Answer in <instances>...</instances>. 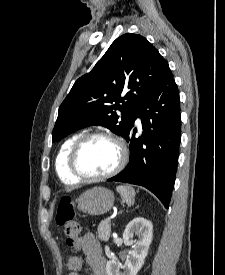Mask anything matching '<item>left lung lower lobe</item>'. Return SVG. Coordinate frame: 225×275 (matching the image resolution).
Returning <instances> with one entry per match:
<instances>
[{
    "label": "left lung lower lobe",
    "instance_id": "left-lung-lower-lobe-1",
    "mask_svg": "<svg viewBox=\"0 0 225 275\" xmlns=\"http://www.w3.org/2000/svg\"><path fill=\"white\" fill-rule=\"evenodd\" d=\"M138 117L143 128L141 137H135L134 123L125 136L130 143L129 163L108 181L143 186L168 208L181 140L179 92L171 70L143 100L135 120Z\"/></svg>",
    "mask_w": 225,
    "mask_h": 275
}]
</instances>
